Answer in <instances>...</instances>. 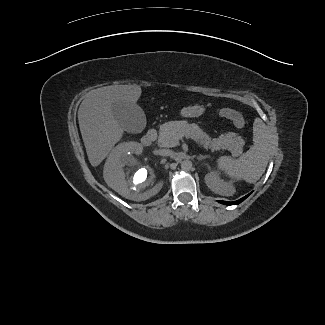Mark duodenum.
<instances>
[{
	"instance_id": "410a0bca",
	"label": "duodenum",
	"mask_w": 325,
	"mask_h": 325,
	"mask_svg": "<svg viewBox=\"0 0 325 325\" xmlns=\"http://www.w3.org/2000/svg\"><path fill=\"white\" fill-rule=\"evenodd\" d=\"M155 139H156L155 130H150L142 136L141 142L143 145L149 146L154 142Z\"/></svg>"
}]
</instances>
